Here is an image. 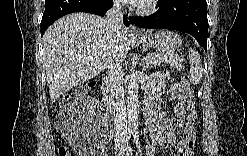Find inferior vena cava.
I'll return each mask as SVG.
<instances>
[{
  "instance_id": "inferior-vena-cava-1",
  "label": "inferior vena cava",
  "mask_w": 247,
  "mask_h": 156,
  "mask_svg": "<svg viewBox=\"0 0 247 156\" xmlns=\"http://www.w3.org/2000/svg\"><path fill=\"white\" fill-rule=\"evenodd\" d=\"M122 19V6L119 1H114L113 7L106 13L105 22L107 30L111 33L118 32L123 26ZM106 69L108 74L109 105L113 114L114 130L118 138H125L127 120L120 62L117 60L112 61Z\"/></svg>"
}]
</instances>
